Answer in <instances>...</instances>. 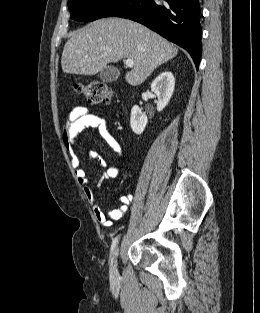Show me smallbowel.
Listing matches in <instances>:
<instances>
[{"mask_svg":"<svg viewBox=\"0 0 260 313\" xmlns=\"http://www.w3.org/2000/svg\"><path fill=\"white\" fill-rule=\"evenodd\" d=\"M86 128H97L101 137L119 156H122L123 154V147L108 129L107 120L105 118L91 113L87 107L83 106L75 107L69 112L62 131V142L70 155L71 165L75 171V176L82 187L88 202L92 206L95 218L101 225L110 227L114 221L120 219L127 212L129 205L134 199V195L127 194L121 196V205L116 209L107 212L102 210L76 153L77 136ZM90 156L93 158L98 157L95 152H91ZM120 170L121 168L118 165L106 166L102 175V180L117 178L120 174Z\"/></svg>","mask_w":260,"mask_h":313,"instance_id":"obj_1","label":"small bowel"}]
</instances>
